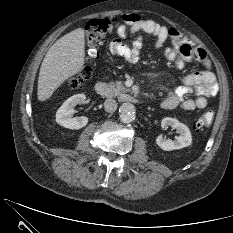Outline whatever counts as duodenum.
Instances as JSON below:
<instances>
[{
	"mask_svg": "<svg viewBox=\"0 0 233 233\" xmlns=\"http://www.w3.org/2000/svg\"><path fill=\"white\" fill-rule=\"evenodd\" d=\"M94 88H95V92L101 97H107L110 94L109 88L107 84L104 82H97ZM123 99L126 102L139 103V101L130 94H124Z\"/></svg>",
	"mask_w": 233,
	"mask_h": 233,
	"instance_id": "1",
	"label": "duodenum"
}]
</instances>
